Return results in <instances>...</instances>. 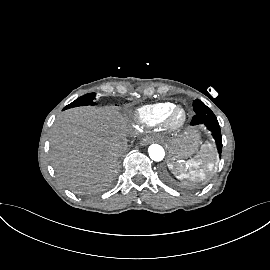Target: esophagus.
I'll use <instances>...</instances> for the list:
<instances>
[{
	"mask_svg": "<svg viewBox=\"0 0 270 270\" xmlns=\"http://www.w3.org/2000/svg\"><path fill=\"white\" fill-rule=\"evenodd\" d=\"M151 143V139L150 138H144L143 140H141L140 144L141 145H148Z\"/></svg>",
	"mask_w": 270,
	"mask_h": 270,
	"instance_id": "obj_1",
	"label": "esophagus"
}]
</instances>
